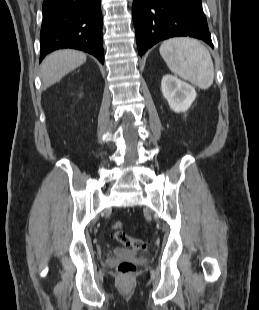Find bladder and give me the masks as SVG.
<instances>
[{
  "label": "bladder",
  "mask_w": 259,
  "mask_h": 310,
  "mask_svg": "<svg viewBox=\"0 0 259 310\" xmlns=\"http://www.w3.org/2000/svg\"><path fill=\"white\" fill-rule=\"evenodd\" d=\"M113 253H114V255L121 257V258H125V259H131L137 255V253L134 251L123 250V249H119V248L114 249Z\"/></svg>",
  "instance_id": "bladder-1"
}]
</instances>
